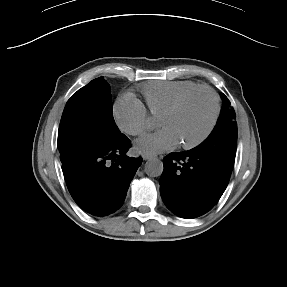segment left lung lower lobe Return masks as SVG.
I'll return each instance as SVG.
<instances>
[{
	"instance_id": "obj_1",
	"label": "left lung lower lobe",
	"mask_w": 287,
	"mask_h": 287,
	"mask_svg": "<svg viewBox=\"0 0 287 287\" xmlns=\"http://www.w3.org/2000/svg\"><path fill=\"white\" fill-rule=\"evenodd\" d=\"M160 192L167 208L182 218L211 210L229 182L231 172L206 151L194 148L164 157Z\"/></svg>"
}]
</instances>
